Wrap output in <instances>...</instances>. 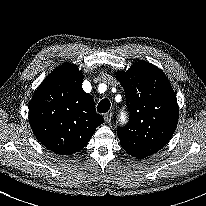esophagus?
Here are the masks:
<instances>
[{
  "label": "esophagus",
  "instance_id": "obj_1",
  "mask_svg": "<svg viewBox=\"0 0 206 206\" xmlns=\"http://www.w3.org/2000/svg\"><path fill=\"white\" fill-rule=\"evenodd\" d=\"M112 118H113L112 113H107V114H105V115H104L105 123H106V124L111 123Z\"/></svg>",
  "mask_w": 206,
  "mask_h": 206
}]
</instances>
